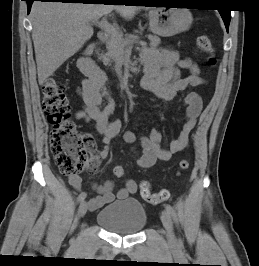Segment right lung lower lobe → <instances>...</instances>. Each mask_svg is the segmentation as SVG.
Returning a JSON list of instances; mask_svg holds the SVG:
<instances>
[{"instance_id":"1","label":"right lung lower lobe","mask_w":259,"mask_h":266,"mask_svg":"<svg viewBox=\"0 0 259 266\" xmlns=\"http://www.w3.org/2000/svg\"><path fill=\"white\" fill-rule=\"evenodd\" d=\"M27 1V8L28 13L31 10V5L34 1H42V2H62V3H68V2H78V3H84V4H105V3H120V2H114L118 0H24Z\"/></svg>"}]
</instances>
